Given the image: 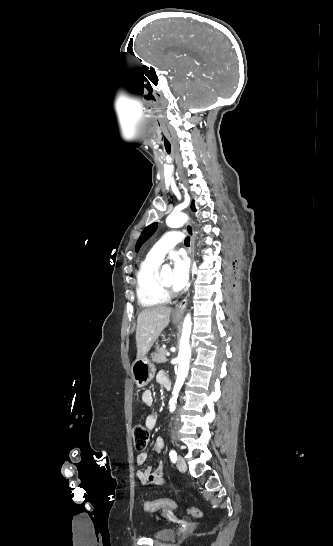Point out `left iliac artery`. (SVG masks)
<instances>
[{"label":"left iliac artery","instance_id":"44dca946","mask_svg":"<svg viewBox=\"0 0 333 546\" xmlns=\"http://www.w3.org/2000/svg\"><path fill=\"white\" fill-rule=\"evenodd\" d=\"M169 456H170V459L173 463L176 462L177 460V453L175 450L171 449L170 452H169Z\"/></svg>","mask_w":333,"mask_h":546}]
</instances>
